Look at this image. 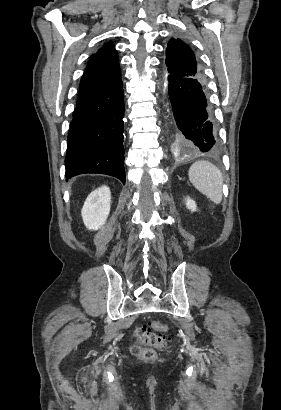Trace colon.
<instances>
[{"label": "colon", "mask_w": 281, "mask_h": 410, "mask_svg": "<svg viewBox=\"0 0 281 410\" xmlns=\"http://www.w3.org/2000/svg\"><path fill=\"white\" fill-rule=\"evenodd\" d=\"M168 326L160 321H152L149 325L138 326L134 331L135 343L131 347L134 355L151 360L155 357V348L162 349L170 342L165 334Z\"/></svg>", "instance_id": "1"}]
</instances>
